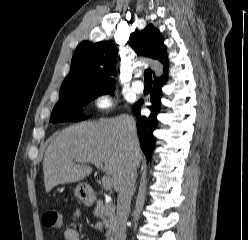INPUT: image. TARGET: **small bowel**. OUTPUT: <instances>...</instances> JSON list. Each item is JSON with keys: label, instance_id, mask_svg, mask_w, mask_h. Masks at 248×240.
I'll return each instance as SVG.
<instances>
[{"label": "small bowel", "instance_id": "1", "mask_svg": "<svg viewBox=\"0 0 248 240\" xmlns=\"http://www.w3.org/2000/svg\"><path fill=\"white\" fill-rule=\"evenodd\" d=\"M79 214V211L77 212ZM64 240H81L78 231L74 228H67L63 233Z\"/></svg>", "mask_w": 248, "mask_h": 240}]
</instances>
